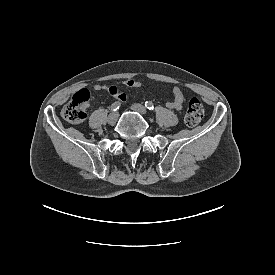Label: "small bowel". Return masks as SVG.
Listing matches in <instances>:
<instances>
[{
    "mask_svg": "<svg viewBox=\"0 0 275 275\" xmlns=\"http://www.w3.org/2000/svg\"><path fill=\"white\" fill-rule=\"evenodd\" d=\"M122 84L126 87L131 88H140L142 86V83L134 78H128L122 81ZM169 90L171 91L173 95V100L166 103V107L169 109L174 110H181L185 104V96L182 92V90L177 86H168ZM95 91H106L113 97H115L120 102L125 101L126 95L124 93H121L118 91V88L114 84L109 85H103V84H96L94 86ZM118 101V102H119Z\"/></svg>",
    "mask_w": 275,
    "mask_h": 275,
    "instance_id": "c3829d8e",
    "label": "small bowel"
}]
</instances>
